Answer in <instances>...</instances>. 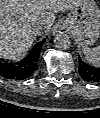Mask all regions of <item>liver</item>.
Returning a JSON list of instances; mask_svg holds the SVG:
<instances>
[{"label": "liver", "mask_w": 100, "mask_h": 118, "mask_svg": "<svg viewBox=\"0 0 100 118\" xmlns=\"http://www.w3.org/2000/svg\"><path fill=\"white\" fill-rule=\"evenodd\" d=\"M78 2L79 0H0V57L10 61L22 59L36 36L43 34L36 32L35 25L46 24L51 28L56 13L71 10Z\"/></svg>", "instance_id": "obj_1"}]
</instances>
